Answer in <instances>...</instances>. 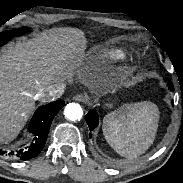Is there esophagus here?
<instances>
[{
    "mask_svg": "<svg viewBox=\"0 0 183 183\" xmlns=\"http://www.w3.org/2000/svg\"><path fill=\"white\" fill-rule=\"evenodd\" d=\"M87 99H88L87 95L84 94H78L74 97V100L78 102H86Z\"/></svg>",
    "mask_w": 183,
    "mask_h": 183,
    "instance_id": "obj_1",
    "label": "esophagus"
}]
</instances>
